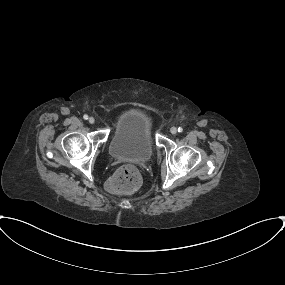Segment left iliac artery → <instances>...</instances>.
<instances>
[{
	"instance_id": "left-iliac-artery-1",
	"label": "left iliac artery",
	"mask_w": 285,
	"mask_h": 285,
	"mask_svg": "<svg viewBox=\"0 0 285 285\" xmlns=\"http://www.w3.org/2000/svg\"><path fill=\"white\" fill-rule=\"evenodd\" d=\"M182 131H183V128H182V127H179V128H178V132L181 133Z\"/></svg>"
}]
</instances>
